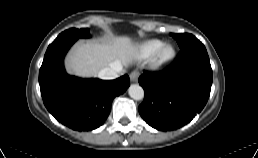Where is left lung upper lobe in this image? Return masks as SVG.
I'll return each mask as SVG.
<instances>
[{"label":"left lung upper lobe","mask_w":258,"mask_h":158,"mask_svg":"<svg viewBox=\"0 0 258 158\" xmlns=\"http://www.w3.org/2000/svg\"><path fill=\"white\" fill-rule=\"evenodd\" d=\"M170 35L176 39L180 48H183L188 44L198 40L195 36L188 33H182V34L171 33Z\"/></svg>","instance_id":"1"}]
</instances>
